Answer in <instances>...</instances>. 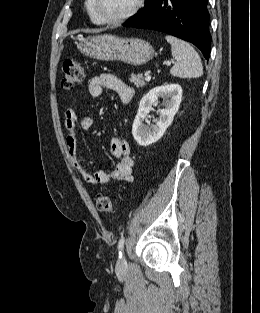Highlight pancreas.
Here are the masks:
<instances>
[{
    "label": "pancreas",
    "instance_id": "cf45deb5",
    "mask_svg": "<svg viewBox=\"0 0 260 313\" xmlns=\"http://www.w3.org/2000/svg\"><path fill=\"white\" fill-rule=\"evenodd\" d=\"M130 82L133 83L137 88H142L146 85L144 78L141 74L131 75L129 78Z\"/></svg>",
    "mask_w": 260,
    "mask_h": 313
}]
</instances>
